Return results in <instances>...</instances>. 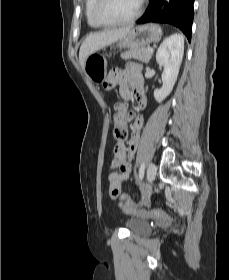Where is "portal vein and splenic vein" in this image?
I'll use <instances>...</instances> for the list:
<instances>
[{
	"instance_id": "1",
	"label": "portal vein and splenic vein",
	"mask_w": 229,
	"mask_h": 280,
	"mask_svg": "<svg viewBox=\"0 0 229 280\" xmlns=\"http://www.w3.org/2000/svg\"><path fill=\"white\" fill-rule=\"evenodd\" d=\"M147 51L150 53H153V49L152 48H147Z\"/></svg>"
}]
</instances>
